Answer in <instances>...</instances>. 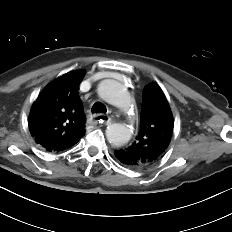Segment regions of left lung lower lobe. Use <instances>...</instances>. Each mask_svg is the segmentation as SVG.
Instances as JSON below:
<instances>
[{
  "mask_svg": "<svg viewBox=\"0 0 232 232\" xmlns=\"http://www.w3.org/2000/svg\"><path fill=\"white\" fill-rule=\"evenodd\" d=\"M115 159L122 165L135 169L136 161L132 159L123 149L114 152Z\"/></svg>",
  "mask_w": 232,
  "mask_h": 232,
  "instance_id": "left-lung-lower-lobe-1",
  "label": "left lung lower lobe"
}]
</instances>
